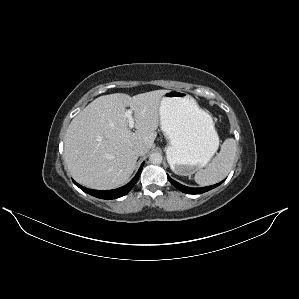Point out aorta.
<instances>
[{
	"label": "aorta",
	"mask_w": 299,
	"mask_h": 299,
	"mask_svg": "<svg viewBox=\"0 0 299 299\" xmlns=\"http://www.w3.org/2000/svg\"><path fill=\"white\" fill-rule=\"evenodd\" d=\"M149 160L152 164H160L162 163V155L160 153L154 152L150 155Z\"/></svg>",
	"instance_id": "1"
}]
</instances>
